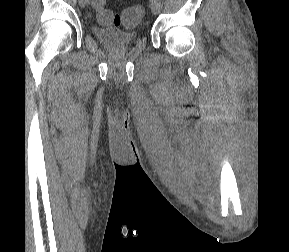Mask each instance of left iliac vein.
Masks as SVG:
<instances>
[{
	"instance_id": "obj_1",
	"label": "left iliac vein",
	"mask_w": 289,
	"mask_h": 252,
	"mask_svg": "<svg viewBox=\"0 0 289 252\" xmlns=\"http://www.w3.org/2000/svg\"><path fill=\"white\" fill-rule=\"evenodd\" d=\"M150 8L153 14H158L160 13L162 9V4L160 3L159 0H152L150 4Z\"/></svg>"
}]
</instances>
